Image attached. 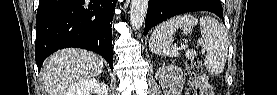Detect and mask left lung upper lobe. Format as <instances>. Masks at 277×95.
Wrapping results in <instances>:
<instances>
[{
  "mask_svg": "<svg viewBox=\"0 0 277 95\" xmlns=\"http://www.w3.org/2000/svg\"><path fill=\"white\" fill-rule=\"evenodd\" d=\"M187 2H190V3H195V2H198V1H200V0H186ZM201 1H204V0H201ZM216 4H218V1H217V3Z\"/></svg>",
  "mask_w": 277,
  "mask_h": 95,
  "instance_id": "1",
  "label": "left lung upper lobe"
}]
</instances>
